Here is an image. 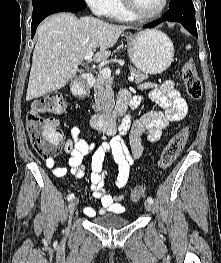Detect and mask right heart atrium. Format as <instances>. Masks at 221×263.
<instances>
[{
	"label": "right heart atrium",
	"instance_id": "d8ad5b80",
	"mask_svg": "<svg viewBox=\"0 0 221 263\" xmlns=\"http://www.w3.org/2000/svg\"><path fill=\"white\" fill-rule=\"evenodd\" d=\"M92 12L99 16L109 15L114 0H85Z\"/></svg>",
	"mask_w": 221,
	"mask_h": 263
}]
</instances>
